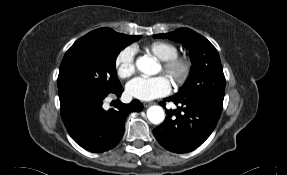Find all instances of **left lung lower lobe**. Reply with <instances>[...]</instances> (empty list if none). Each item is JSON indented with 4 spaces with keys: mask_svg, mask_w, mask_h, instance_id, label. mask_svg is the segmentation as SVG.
Wrapping results in <instances>:
<instances>
[{
    "mask_svg": "<svg viewBox=\"0 0 287 175\" xmlns=\"http://www.w3.org/2000/svg\"><path fill=\"white\" fill-rule=\"evenodd\" d=\"M164 101L180 105L178 110H166V120L153 130L157 141L175 153L190 152L199 147L214 130L222 108L197 98L171 96ZM165 106V102H160Z\"/></svg>",
    "mask_w": 287,
    "mask_h": 175,
    "instance_id": "0a47b994",
    "label": "left lung lower lobe"
}]
</instances>
